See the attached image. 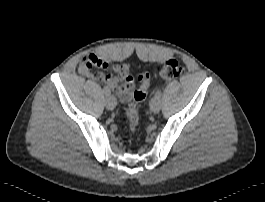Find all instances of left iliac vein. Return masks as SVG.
<instances>
[{
	"label": "left iliac vein",
	"instance_id": "left-iliac-vein-1",
	"mask_svg": "<svg viewBox=\"0 0 265 202\" xmlns=\"http://www.w3.org/2000/svg\"><path fill=\"white\" fill-rule=\"evenodd\" d=\"M150 109L153 113H158L161 109V101L159 98L154 97L150 102Z\"/></svg>",
	"mask_w": 265,
	"mask_h": 202
}]
</instances>
